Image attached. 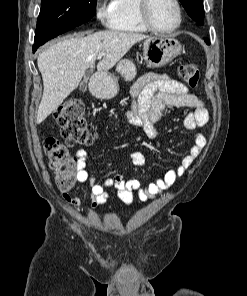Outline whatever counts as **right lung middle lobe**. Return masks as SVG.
I'll use <instances>...</instances> for the list:
<instances>
[{"label": "right lung middle lobe", "instance_id": "dd1d6c3e", "mask_svg": "<svg viewBox=\"0 0 247 296\" xmlns=\"http://www.w3.org/2000/svg\"><path fill=\"white\" fill-rule=\"evenodd\" d=\"M97 0H41L35 47L73 29L95 15Z\"/></svg>", "mask_w": 247, "mask_h": 296}]
</instances>
